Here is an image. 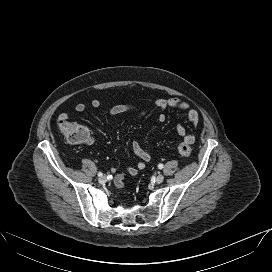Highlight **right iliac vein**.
<instances>
[{
	"label": "right iliac vein",
	"instance_id": "1",
	"mask_svg": "<svg viewBox=\"0 0 272 272\" xmlns=\"http://www.w3.org/2000/svg\"><path fill=\"white\" fill-rule=\"evenodd\" d=\"M107 181V177L106 176H102L99 178V182L100 183H105Z\"/></svg>",
	"mask_w": 272,
	"mask_h": 272
}]
</instances>
